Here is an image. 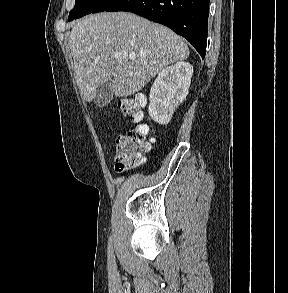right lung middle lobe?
I'll list each match as a JSON object with an SVG mask.
<instances>
[{
    "mask_svg": "<svg viewBox=\"0 0 288 293\" xmlns=\"http://www.w3.org/2000/svg\"><path fill=\"white\" fill-rule=\"evenodd\" d=\"M118 0H75V7L70 11L68 21L84 15L105 11Z\"/></svg>",
    "mask_w": 288,
    "mask_h": 293,
    "instance_id": "obj_1",
    "label": "right lung middle lobe"
}]
</instances>
